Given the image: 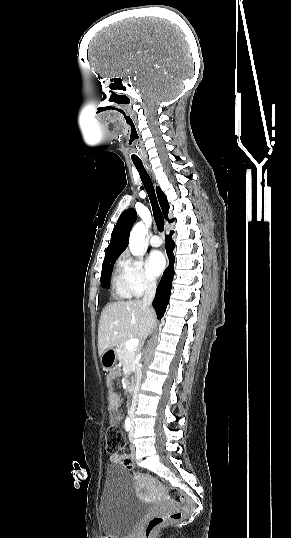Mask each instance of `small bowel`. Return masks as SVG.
<instances>
[{
    "instance_id": "small-bowel-1",
    "label": "small bowel",
    "mask_w": 291,
    "mask_h": 538,
    "mask_svg": "<svg viewBox=\"0 0 291 538\" xmlns=\"http://www.w3.org/2000/svg\"><path fill=\"white\" fill-rule=\"evenodd\" d=\"M115 380V375L110 374L107 379L108 385V409L111 413L113 420H119L118 406H119V396L112 388V384ZM135 457L134 449L131 448V452L128 455H112L110 456V461L115 464L121 463L125 458L133 459Z\"/></svg>"
}]
</instances>
